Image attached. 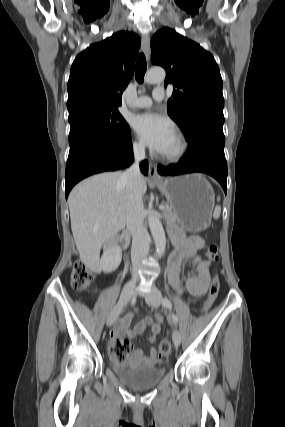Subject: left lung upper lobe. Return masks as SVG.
<instances>
[{"mask_svg": "<svg viewBox=\"0 0 285 427\" xmlns=\"http://www.w3.org/2000/svg\"><path fill=\"white\" fill-rule=\"evenodd\" d=\"M151 61L165 68V87L177 88L168 101V114L185 138L191 141L207 130L223 133V82L214 57L165 27L152 37Z\"/></svg>", "mask_w": 285, "mask_h": 427, "instance_id": "obj_1", "label": "left lung upper lobe"}]
</instances>
